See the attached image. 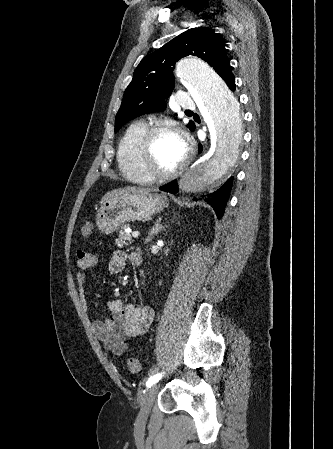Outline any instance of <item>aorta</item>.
Returning a JSON list of instances; mask_svg holds the SVG:
<instances>
[{
  "label": "aorta",
  "instance_id": "obj_1",
  "mask_svg": "<svg viewBox=\"0 0 333 449\" xmlns=\"http://www.w3.org/2000/svg\"><path fill=\"white\" fill-rule=\"evenodd\" d=\"M175 74L212 123L213 140L211 150L194 162L180 178L179 189L186 193L217 190L237 160L241 143L239 105L213 68L197 57L180 60Z\"/></svg>",
  "mask_w": 333,
  "mask_h": 449
}]
</instances>
